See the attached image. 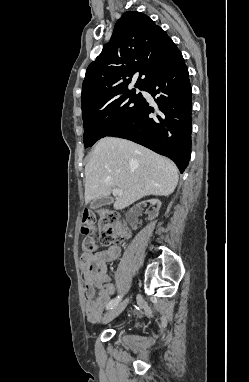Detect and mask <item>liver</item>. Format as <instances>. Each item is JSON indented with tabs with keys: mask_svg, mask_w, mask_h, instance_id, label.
I'll use <instances>...</instances> for the list:
<instances>
[{
	"mask_svg": "<svg viewBox=\"0 0 249 382\" xmlns=\"http://www.w3.org/2000/svg\"><path fill=\"white\" fill-rule=\"evenodd\" d=\"M178 169L169 159L132 141L105 137L94 146L85 166V203L122 192L114 203L124 209L148 196H169L178 184Z\"/></svg>",
	"mask_w": 249,
	"mask_h": 382,
	"instance_id": "liver-1",
	"label": "liver"
}]
</instances>
